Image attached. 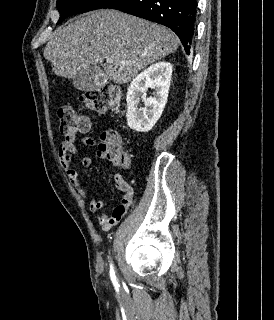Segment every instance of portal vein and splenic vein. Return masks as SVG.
I'll list each match as a JSON object with an SVG mask.
<instances>
[{"mask_svg": "<svg viewBox=\"0 0 274 320\" xmlns=\"http://www.w3.org/2000/svg\"><path fill=\"white\" fill-rule=\"evenodd\" d=\"M107 64H113L112 58H106ZM123 66H125V62H122Z\"/></svg>", "mask_w": 274, "mask_h": 320, "instance_id": "18ae733b", "label": "portal vein and splenic vein"}]
</instances>
